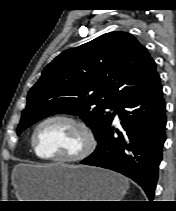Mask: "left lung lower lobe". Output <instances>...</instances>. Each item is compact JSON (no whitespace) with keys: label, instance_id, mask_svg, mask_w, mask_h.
<instances>
[{"label":"left lung lower lobe","instance_id":"obj_1","mask_svg":"<svg viewBox=\"0 0 176 211\" xmlns=\"http://www.w3.org/2000/svg\"><path fill=\"white\" fill-rule=\"evenodd\" d=\"M165 109L159 78L116 107L114 114L118 113L122 130L112 126L113 114L96 150L81 164L124 174L137 182L152 200L165 142Z\"/></svg>","mask_w":176,"mask_h":211}]
</instances>
